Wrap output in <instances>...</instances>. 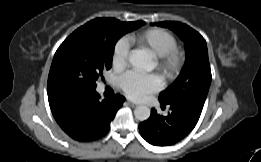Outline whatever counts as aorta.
I'll return each instance as SVG.
<instances>
[{"label":"aorta","instance_id":"obj_1","mask_svg":"<svg viewBox=\"0 0 261 162\" xmlns=\"http://www.w3.org/2000/svg\"><path fill=\"white\" fill-rule=\"evenodd\" d=\"M129 63L138 71H150L152 69L151 59L141 50H135L129 55ZM134 116L139 121H145L150 117V109L147 106H137Z\"/></svg>","mask_w":261,"mask_h":162}]
</instances>
